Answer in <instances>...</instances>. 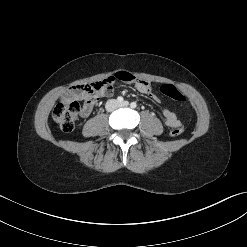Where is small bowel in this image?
<instances>
[{"mask_svg": "<svg viewBox=\"0 0 247 247\" xmlns=\"http://www.w3.org/2000/svg\"><path fill=\"white\" fill-rule=\"evenodd\" d=\"M116 78H118L119 80L128 82V83H133L136 89L142 94L151 95V86L147 81L135 79L130 73L124 72V71L118 72L116 74ZM113 92H114V89L112 87L111 89L102 92L101 95L109 96V95H112ZM75 97L79 100L84 101L81 114L83 117H88L93 110L94 103H90L86 101L84 95L79 92H75ZM154 99L157 100V98L155 97ZM162 113H163L165 124L167 126L174 128L180 125V121L178 120L176 114L172 110L165 108L163 109Z\"/></svg>", "mask_w": 247, "mask_h": 247, "instance_id": "c3829d8e", "label": "small bowel"}]
</instances>
